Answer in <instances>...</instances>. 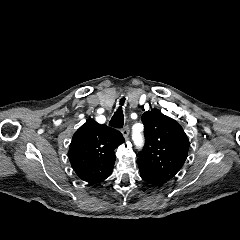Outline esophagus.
Segmentation results:
<instances>
[{
    "instance_id": "1",
    "label": "esophagus",
    "mask_w": 240,
    "mask_h": 240,
    "mask_svg": "<svg viewBox=\"0 0 240 240\" xmlns=\"http://www.w3.org/2000/svg\"><path fill=\"white\" fill-rule=\"evenodd\" d=\"M129 126L128 125H126L123 129H122V134H123V136H124V138L125 139H127L128 138V136H129Z\"/></svg>"
}]
</instances>
